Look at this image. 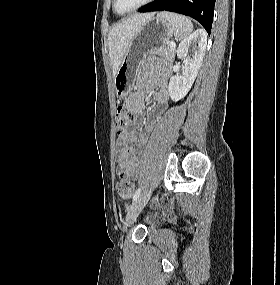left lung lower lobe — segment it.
<instances>
[{"label":"left lung lower lobe","instance_id":"1","mask_svg":"<svg viewBox=\"0 0 280 285\" xmlns=\"http://www.w3.org/2000/svg\"><path fill=\"white\" fill-rule=\"evenodd\" d=\"M215 0H154L141 7L139 12L171 11L196 19L210 34Z\"/></svg>","mask_w":280,"mask_h":285}]
</instances>
